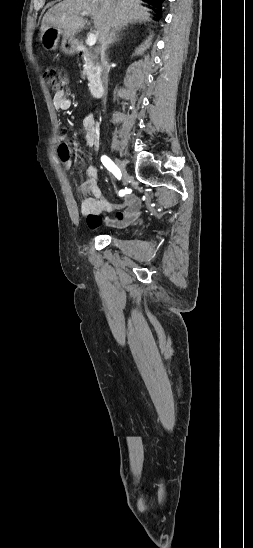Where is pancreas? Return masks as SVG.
I'll return each mask as SVG.
<instances>
[{
    "label": "pancreas",
    "mask_w": 253,
    "mask_h": 548,
    "mask_svg": "<svg viewBox=\"0 0 253 548\" xmlns=\"http://www.w3.org/2000/svg\"><path fill=\"white\" fill-rule=\"evenodd\" d=\"M83 70L89 80V89H94L100 82V66L97 60L91 56H84Z\"/></svg>",
    "instance_id": "obj_1"
}]
</instances>
